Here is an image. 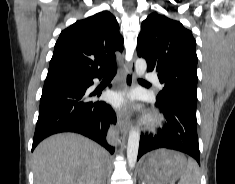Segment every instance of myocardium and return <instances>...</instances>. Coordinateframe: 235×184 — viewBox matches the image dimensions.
Wrapping results in <instances>:
<instances>
[{
	"label": "myocardium",
	"instance_id": "myocardium-1",
	"mask_svg": "<svg viewBox=\"0 0 235 184\" xmlns=\"http://www.w3.org/2000/svg\"><path fill=\"white\" fill-rule=\"evenodd\" d=\"M159 124L160 118L155 113L147 114L142 120L143 128L147 131H154L159 126Z\"/></svg>",
	"mask_w": 235,
	"mask_h": 184
}]
</instances>
